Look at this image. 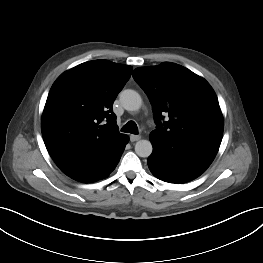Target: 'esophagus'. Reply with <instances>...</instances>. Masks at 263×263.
<instances>
[{
	"label": "esophagus",
	"instance_id": "34e87169",
	"mask_svg": "<svg viewBox=\"0 0 263 263\" xmlns=\"http://www.w3.org/2000/svg\"><path fill=\"white\" fill-rule=\"evenodd\" d=\"M141 139V136L140 135H131L130 136V141L131 142H135V141H138Z\"/></svg>",
	"mask_w": 263,
	"mask_h": 263
}]
</instances>
